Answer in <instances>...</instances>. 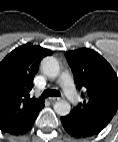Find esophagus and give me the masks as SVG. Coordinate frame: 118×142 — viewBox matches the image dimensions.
Wrapping results in <instances>:
<instances>
[{
	"label": "esophagus",
	"instance_id": "1",
	"mask_svg": "<svg viewBox=\"0 0 118 142\" xmlns=\"http://www.w3.org/2000/svg\"><path fill=\"white\" fill-rule=\"evenodd\" d=\"M58 100H59V98H51V99H50L51 102H56V101H58Z\"/></svg>",
	"mask_w": 118,
	"mask_h": 142
}]
</instances>
